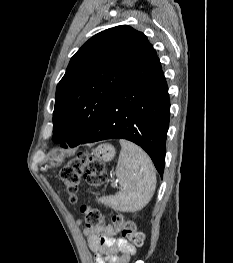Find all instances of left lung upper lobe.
Instances as JSON below:
<instances>
[{
  "label": "left lung upper lobe",
  "instance_id": "obj_1",
  "mask_svg": "<svg viewBox=\"0 0 233 263\" xmlns=\"http://www.w3.org/2000/svg\"><path fill=\"white\" fill-rule=\"evenodd\" d=\"M150 46L143 33L127 25L89 39L57 85L53 138L83 141Z\"/></svg>",
  "mask_w": 233,
  "mask_h": 263
}]
</instances>
